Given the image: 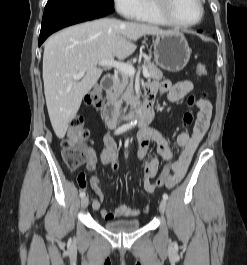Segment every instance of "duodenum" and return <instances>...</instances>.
Masks as SVG:
<instances>
[{"label": "duodenum", "instance_id": "duodenum-1", "mask_svg": "<svg viewBox=\"0 0 247 265\" xmlns=\"http://www.w3.org/2000/svg\"><path fill=\"white\" fill-rule=\"evenodd\" d=\"M115 81L116 77L113 74L106 73L102 79L101 86L106 90H110L113 87ZM152 97V91L148 90L145 98L143 111L129 115L127 117V124L131 126L145 127L148 125L149 122L152 121V119L154 118V110L152 108ZM103 115L107 124L111 127L117 126L119 121L121 120L118 108L111 102L107 103L104 106Z\"/></svg>", "mask_w": 247, "mask_h": 265}]
</instances>
